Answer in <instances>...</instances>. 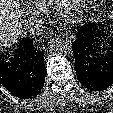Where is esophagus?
<instances>
[{"label": "esophagus", "mask_w": 113, "mask_h": 113, "mask_svg": "<svg viewBox=\"0 0 113 113\" xmlns=\"http://www.w3.org/2000/svg\"><path fill=\"white\" fill-rule=\"evenodd\" d=\"M73 38L74 37L72 35H68V34L62 35V39H65L68 42H72Z\"/></svg>", "instance_id": "esophagus-1"}]
</instances>
